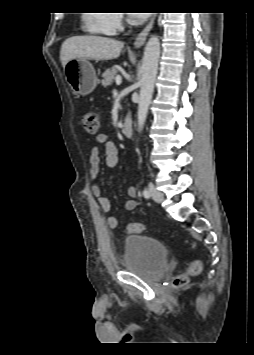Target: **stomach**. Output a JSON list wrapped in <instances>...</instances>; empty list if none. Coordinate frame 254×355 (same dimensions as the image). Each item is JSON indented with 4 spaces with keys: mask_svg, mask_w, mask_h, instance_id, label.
I'll return each mask as SVG.
<instances>
[{
    "mask_svg": "<svg viewBox=\"0 0 254 355\" xmlns=\"http://www.w3.org/2000/svg\"><path fill=\"white\" fill-rule=\"evenodd\" d=\"M66 79L73 92L80 95L90 94L98 79L93 65L88 59H72L65 66Z\"/></svg>",
    "mask_w": 254,
    "mask_h": 355,
    "instance_id": "1",
    "label": "stomach"
}]
</instances>
